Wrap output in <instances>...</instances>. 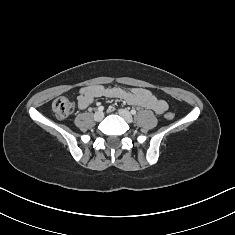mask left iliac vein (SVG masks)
Masks as SVG:
<instances>
[{
  "mask_svg": "<svg viewBox=\"0 0 235 235\" xmlns=\"http://www.w3.org/2000/svg\"><path fill=\"white\" fill-rule=\"evenodd\" d=\"M119 115L128 123H132L133 122V117L130 114V112L126 109H119L118 110Z\"/></svg>",
  "mask_w": 235,
  "mask_h": 235,
  "instance_id": "left-iliac-vein-1",
  "label": "left iliac vein"
}]
</instances>
